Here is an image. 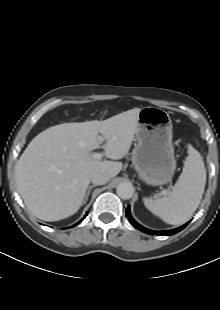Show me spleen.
I'll use <instances>...</instances> for the list:
<instances>
[{
  "label": "spleen",
  "mask_w": 220,
  "mask_h": 310,
  "mask_svg": "<svg viewBox=\"0 0 220 310\" xmlns=\"http://www.w3.org/2000/svg\"><path fill=\"white\" fill-rule=\"evenodd\" d=\"M206 184V169L200 153L191 145L178 181L168 196L144 198V205L154 215L171 225L186 222L197 209Z\"/></svg>",
  "instance_id": "spleen-1"
}]
</instances>
